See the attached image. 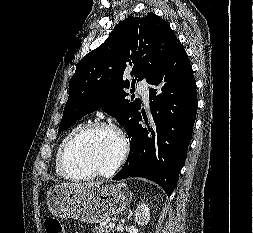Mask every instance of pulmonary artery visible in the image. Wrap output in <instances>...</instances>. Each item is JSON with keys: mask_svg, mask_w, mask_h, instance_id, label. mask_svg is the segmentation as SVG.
Wrapping results in <instances>:
<instances>
[{"mask_svg": "<svg viewBox=\"0 0 253 233\" xmlns=\"http://www.w3.org/2000/svg\"><path fill=\"white\" fill-rule=\"evenodd\" d=\"M136 91L141 95L145 104L149 103V88L145 82H139L136 86Z\"/></svg>", "mask_w": 253, "mask_h": 233, "instance_id": "1", "label": "pulmonary artery"}]
</instances>
